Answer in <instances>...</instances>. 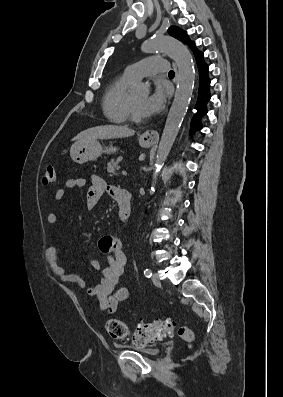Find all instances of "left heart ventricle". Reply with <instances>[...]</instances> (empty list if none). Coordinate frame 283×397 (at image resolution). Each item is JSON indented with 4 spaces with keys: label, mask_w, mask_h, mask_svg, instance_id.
I'll return each mask as SVG.
<instances>
[{
    "label": "left heart ventricle",
    "mask_w": 283,
    "mask_h": 397,
    "mask_svg": "<svg viewBox=\"0 0 283 397\" xmlns=\"http://www.w3.org/2000/svg\"><path fill=\"white\" fill-rule=\"evenodd\" d=\"M131 98H132L133 104L135 106V109H136L138 115L143 117V114L141 112V105L144 102V100L146 99V95L145 94L134 95Z\"/></svg>",
    "instance_id": "obj_1"
}]
</instances>
